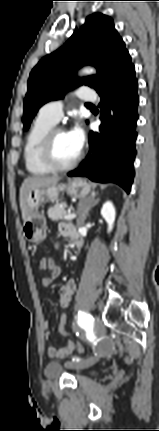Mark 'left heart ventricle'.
<instances>
[{
  "mask_svg": "<svg viewBox=\"0 0 159 431\" xmlns=\"http://www.w3.org/2000/svg\"><path fill=\"white\" fill-rule=\"evenodd\" d=\"M79 152L74 148L66 132L57 134L54 143V155L60 164L72 162Z\"/></svg>",
  "mask_w": 159,
  "mask_h": 431,
  "instance_id": "left-heart-ventricle-1",
  "label": "left heart ventricle"
}]
</instances>
